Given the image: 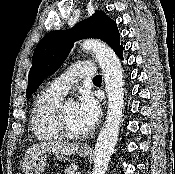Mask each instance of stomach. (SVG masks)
I'll return each mask as SVG.
<instances>
[{"label": "stomach", "mask_w": 175, "mask_h": 174, "mask_svg": "<svg viewBox=\"0 0 175 174\" xmlns=\"http://www.w3.org/2000/svg\"><path fill=\"white\" fill-rule=\"evenodd\" d=\"M81 157H88L90 155L89 151L79 150ZM57 159L59 157L57 156ZM47 165V156L44 153H37L25 157L22 162V170L25 174H42Z\"/></svg>", "instance_id": "stomach-1"}]
</instances>
